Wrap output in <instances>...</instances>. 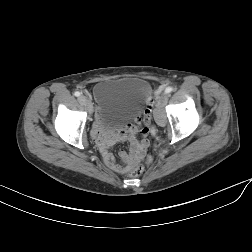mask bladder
Returning a JSON list of instances; mask_svg holds the SVG:
<instances>
[{
	"instance_id": "obj_1",
	"label": "bladder",
	"mask_w": 252,
	"mask_h": 252,
	"mask_svg": "<svg viewBox=\"0 0 252 252\" xmlns=\"http://www.w3.org/2000/svg\"><path fill=\"white\" fill-rule=\"evenodd\" d=\"M94 95L97 120L110 130L139 111L147 98V86L137 78L104 80L96 85Z\"/></svg>"
}]
</instances>
